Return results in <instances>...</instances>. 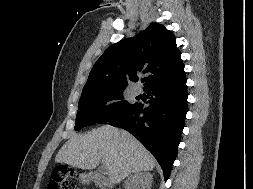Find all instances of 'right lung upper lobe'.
<instances>
[{
  "label": "right lung upper lobe",
  "instance_id": "cb5924a9",
  "mask_svg": "<svg viewBox=\"0 0 253 189\" xmlns=\"http://www.w3.org/2000/svg\"><path fill=\"white\" fill-rule=\"evenodd\" d=\"M148 73L144 89L184 75L181 53L174 35L163 25L151 23L134 37L109 47L90 71L83 91L101 87H126Z\"/></svg>",
  "mask_w": 253,
  "mask_h": 189
}]
</instances>
